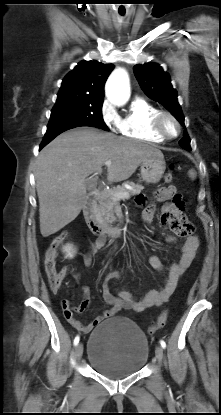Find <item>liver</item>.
Masks as SVG:
<instances>
[{
	"label": "liver",
	"instance_id": "1",
	"mask_svg": "<svg viewBox=\"0 0 221 415\" xmlns=\"http://www.w3.org/2000/svg\"><path fill=\"white\" fill-rule=\"evenodd\" d=\"M162 152L151 145L116 137L91 127L62 133L41 150L36 160L40 232L55 234L72 222L87 200L85 178L107 166L109 183L126 180L146 159Z\"/></svg>",
	"mask_w": 221,
	"mask_h": 415
}]
</instances>
